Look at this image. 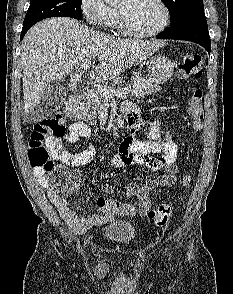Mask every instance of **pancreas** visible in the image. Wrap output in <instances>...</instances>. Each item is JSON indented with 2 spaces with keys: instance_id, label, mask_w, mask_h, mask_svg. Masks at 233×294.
Listing matches in <instances>:
<instances>
[{
  "instance_id": "1",
  "label": "pancreas",
  "mask_w": 233,
  "mask_h": 294,
  "mask_svg": "<svg viewBox=\"0 0 233 294\" xmlns=\"http://www.w3.org/2000/svg\"><path fill=\"white\" fill-rule=\"evenodd\" d=\"M133 86L131 95L135 97H144L156 93L160 90V86L155 84L151 79L143 77L141 74H134L132 76ZM106 97L97 91V89H90L84 95V101L79 107V115L82 120L89 124L96 123L97 111L102 105Z\"/></svg>"
}]
</instances>
